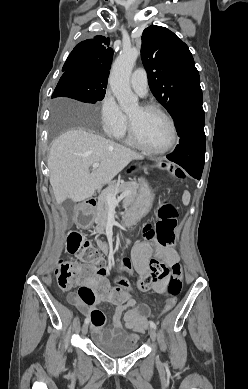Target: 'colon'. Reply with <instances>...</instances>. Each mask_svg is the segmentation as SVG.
I'll use <instances>...</instances> for the list:
<instances>
[{"label": "colon", "mask_w": 248, "mask_h": 389, "mask_svg": "<svg viewBox=\"0 0 248 389\" xmlns=\"http://www.w3.org/2000/svg\"><path fill=\"white\" fill-rule=\"evenodd\" d=\"M175 178L182 179L184 174L180 171L174 173ZM177 224V210L169 204L164 203L158 210L155 224L148 223L144 226L143 236L148 240H157L163 247H170L175 241V228ZM67 250L69 253L81 259V263L60 261L56 269L57 283L62 289L78 286L80 299L88 305L93 304L98 299L121 303L126 299V295L118 289L110 288L106 284L108 270L104 265V260L100 252L93 247L79 233H71L67 237ZM121 273L129 277L134 275V265L128 257L120 260ZM166 280L165 294L167 296L166 305L162 314L170 311L182 287V266L180 264L168 265L165 262L151 260L149 271H147L137 281V286L142 292H148L155 283ZM114 285L122 286L132 298L137 295L142 299L140 293L134 291V287L129 279H118L113 281ZM149 302L148 298L144 299ZM91 324L95 328H100L105 323V316L100 310H93L90 315Z\"/></svg>", "instance_id": "obj_1"}]
</instances>
